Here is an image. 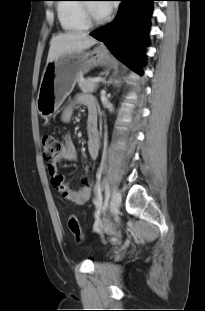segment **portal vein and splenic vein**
I'll return each instance as SVG.
<instances>
[{"mask_svg": "<svg viewBox=\"0 0 205 311\" xmlns=\"http://www.w3.org/2000/svg\"><path fill=\"white\" fill-rule=\"evenodd\" d=\"M92 81L98 83V82L103 81V79L101 77H96V78H93Z\"/></svg>", "mask_w": 205, "mask_h": 311, "instance_id": "portal-vein-and-splenic-vein-1", "label": "portal vein and splenic vein"}]
</instances>
